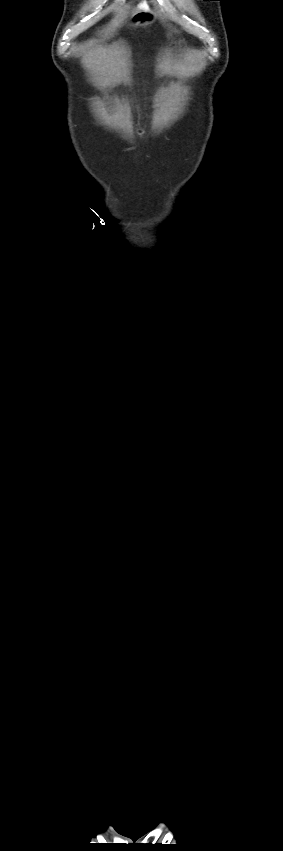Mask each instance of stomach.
<instances>
[{
  "label": "stomach",
  "mask_w": 283,
  "mask_h": 851,
  "mask_svg": "<svg viewBox=\"0 0 283 851\" xmlns=\"http://www.w3.org/2000/svg\"><path fill=\"white\" fill-rule=\"evenodd\" d=\"M156 15L152 11H141L135 13L128 24L130 26H147L155 21Z\"/></svg>",
  "instance_id": "stomach-1"
}]
</instances>
